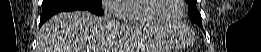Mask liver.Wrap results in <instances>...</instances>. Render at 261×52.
<instances>
[{"label":"liver","mask_w":261,"mask_h":52,"mask_svg":"<svg viewBox=\"0 0 261 52\" xmlns=\"http://www.w3.org/2000/svg\"><path fill=\"white\" fill-rule=\"evenodd\" d=\"M165 33L143 26L123 27L111 17H98L88 11L59 13L40 29L38 52H118L117 39L136 47L155 48ZM123 52V51H119Z\"/></svg>","instance_id":"obj_1"}]
</instances>
